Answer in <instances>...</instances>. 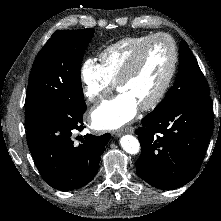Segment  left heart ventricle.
<instances>
[{"mask_svg":"<svg viewBox=\"0 0 221 221\" xmlns=\"http://www.w3.org/2000/svg\"><path fill=\"white\" fill-rule=\"evenodd\" d=\"M172 48L167 39L153 41L144 51L140 67L135 75L120 88L140 107L160 89L170 69Z\"/></svg>","mask_w":221,"mask_h":221,"instance_id":"obj_1","label":"left heart ventricle"}]
</instances>
